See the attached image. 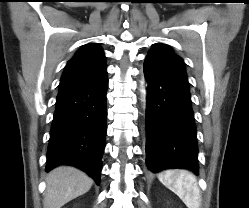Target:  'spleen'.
<instances>
[{"mask_svg":"<svg viewBox=\"0 0 249 208\" xmlns=\"http://www.w3.org/2000/svg\"><path fill=\"white\" fill-rule=\"evenodd\" d=\"M159 180L173 191L188 208H199L200 190L196 177L185 170H168L159 174Z\"/></svg>","mask_w":249,"mask_h":208,"instance_id":"3e777b00","label":"spleen"}]
</instances>
